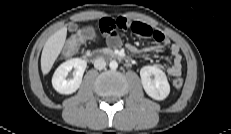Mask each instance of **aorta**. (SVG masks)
Returning <instances> with one entry per match:
<instances>
[{"label":"aorta","mask_w":231,"mask_h":134,"mask_svg":"<svg viewBox=\"0 0 231 134\" xmlns=\"http://www.w3.org/2000/svg\"><path fill=\"white\" fill-rule=\"evenodd\" d=\"M109 67H110V69L115 70L118 67V63L115 60H112L109 63Z\"/></svg>","instance_id":"1"}]
</instances>
